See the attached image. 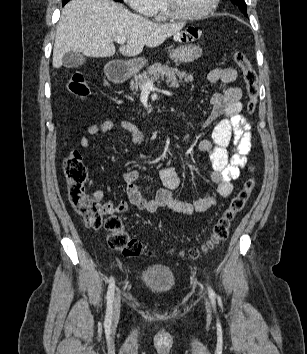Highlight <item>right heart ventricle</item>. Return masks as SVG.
Listing matches in <instances>:
<instances>
[{
	"label": "right heart ventricle",
	"instance_id": "right-heart-ventricle-1",
	"mask_svg": "<svg viewBox=\"0 0 307 354\" xmlns=\"http://www.w3.org/2000/svg\"><path fill=\"white\" fill-rule=\"evenodd\" d=\"M156 21H166L168 20L170 17L167 14L164 5H163V0H158L157 2V6L153 12V14L151 15Z\"/></svg>",
	"mask_w": 307,
	"mask_h": 354
}]
</instances>
